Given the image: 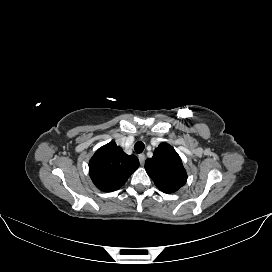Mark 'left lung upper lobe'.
Instances as JSON below:
<instances>
[{"mask_svg":"<svg viewBox=\"0 0 272 272\" xmlns=\"http://www.w3.org/2000/svg\"><path fill=\"white\" fill-rule=\"evenodd\" d=\"M145 169L155 185L164 193L176 192L187 180L179 155L167 143H161L155 149L153 157L146 160Z\"/></svg>","mask_w":272,"mask_h":272,"instance_id":"1","label":"left lung upper lobe"}]
</instances>
